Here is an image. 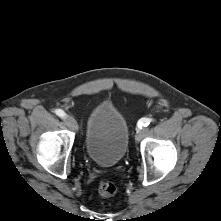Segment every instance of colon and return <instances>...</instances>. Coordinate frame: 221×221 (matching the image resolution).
Masks as SVG:
<instances>
[{
	"label": "colon",
	"instance_id": "obj_1",
	"mask_svg": "<svg viewBox=\"0 0 221 221\" xmlns=\"http://www.w3.org/2000/svg\"><path fill=\"white\" fill-rule=\"evenodd\" d=\"M117 191L115 183L111 181H101L98 184V193L103 197H110Z\"/></svg>",
	"mask_w": 221,
	"mask_h": 221
}]
</instances>
